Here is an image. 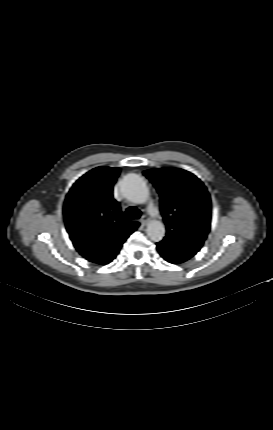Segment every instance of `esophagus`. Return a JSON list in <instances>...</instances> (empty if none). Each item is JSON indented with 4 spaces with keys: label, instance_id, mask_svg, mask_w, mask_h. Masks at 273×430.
Segmentation results:
<instances>
[{
    "label": "esophagus",
    "instance_id": "obj_1",
    "mask_svg": "<svg viewBox=\"0 0 273 430\" xmlns=\"http://www.w3.org/2000/svg\"><path fill=\"white\" fill-rule=\"evenodd\" d=\"M140 222L143 226H145L148 223V218L146 216H142Z\"/></svg>",
    "mask_w": 273,
    "mask_h": 430
}]
</instances>
